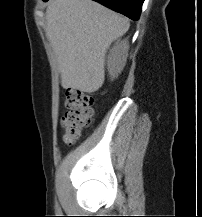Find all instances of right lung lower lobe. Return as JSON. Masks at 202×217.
Wrapping results in <instances>:
<instances>
[{
	"label": "right lung lower lobe",
	"instance_id": "right-lung-lower-lobe-1",
	"mask_svg": "<svg viewBox=\"0 0 202 217\" xmlns=\"http://www.w3.org/2000/svg\"><path fill=\"white\" fill-rule=\"evenodd\" d=\"M106 7L124 14L132 20H138L144 0H94Z\"/></svg>",
	"mask_w": 202,
	"mask_h": 217
}]
</instances>
